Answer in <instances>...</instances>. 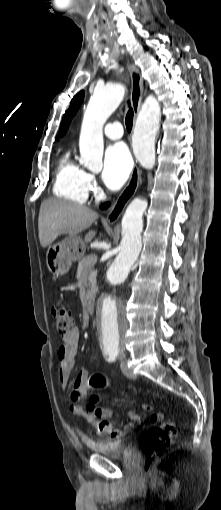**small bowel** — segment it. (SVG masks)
<instances>
[{"label": "small bowel", "mask_w": 221, "mask_h": 510, "mask_svg": "<svg viewBox=\"0 0 221 510\" xmlns=\"http://www.w3.org/2000/svg\"><path fill=\"white\" fill-rule=\"evenodd\" d=\"M80 338V331L77 327L72 328V330L63 336L62 345L57 350V358H58V379L62 388H67L70 375L74 366V362L78 352V344ZM95 370V365L93 363H89L85 368H83L77 375L74 380L72 386V397L74 400H78L85 396L89 390L91 389L88 386V378L91 373ZM145 410H150L148 405H143ZM71 411L76 416H81L86 418V407L74 404L71 406ZM129 417L134 422H141L142 417L135 411H129ZM87 419V418H86ZM132 424H125L121 428L113 429L111 424L105 421V427L99 432L107 433L109 439L116 440L124 436L132 429Z\"/></svg>", "instance_id": "1"}]
</instances>
